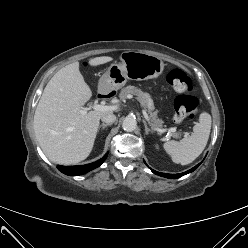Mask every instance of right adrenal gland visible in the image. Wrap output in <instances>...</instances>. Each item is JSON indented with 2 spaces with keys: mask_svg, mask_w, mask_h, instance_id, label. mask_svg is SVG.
<instances>
[{
  "mask_svg": "<svg viewBox=\"0 0 248 248\" xmlns=\"http://www.w3.org/2000/svg\"><path fill=\"white\" fill-rule=\"evenodd\" d=\"M110 125H112V124H109V123H103L102 125H100L99 127H98V131L100 130V128H102V129H105L107 126H110Z\"/></svg>",
  "mask_w": 248,
  "mask_h": 248,
  "instance_id": "2a0ac1e0",
  "label": "right adrenal gland"
}]
</instances>
